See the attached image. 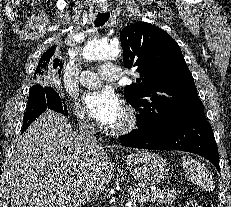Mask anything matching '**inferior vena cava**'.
Returning a JSON list of instances; mask_svg holds the SVG:
<instances>
[{
  "mask_svg": "<svg viewBox=\"0 0 231 207\" xmlns=\"http://www.w3.org/2000/svg\"><path fill=\"white\" fill-rule=\"evenodd\" d=\"M77 141L79 148L88 154H95L99 149L96 139L95 124L87 115L80 118ZM84 194L89 202L95 198L96 194L91 183H85Z\"/></svg>",
  "mask_w": 231,
  "mask_h": 207,
  "instance_id": "602c4592",
  "label": "inferior vena cava"
}]
</instances>
